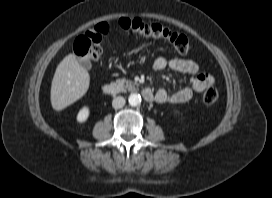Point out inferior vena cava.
Here are the masks:
<instances>
[{
  "label": "inferior vena cava",
  "instance_id": "602c4592",
  "mask_svg": "<svg viewBox=\"0 0 272 198\" xmlns=\"http://www.w3.org/2000/svg\"><path fill=\"white\" fill-rule=\"evenodd\" d=\"M125 105V99L122 96L115 97L112 101V106L115 109H120Z\"/></svg>",
  "mask_w": 272,
  "mask_h": 198
}]
</instances>
